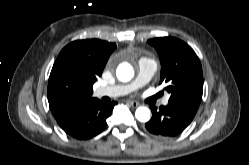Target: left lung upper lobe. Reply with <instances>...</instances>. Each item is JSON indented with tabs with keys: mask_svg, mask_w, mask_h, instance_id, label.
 Segmentation results:
<instances>
[{
	"mask_svg": "<svg viewBox=\"0 0 249 165\" xmlns=\"http://www.w3.org/2000/svg\"><path fill=\"white\" fill-rule=\"evenodd\" d=\"M161 62L160 84L171 94L169 102L197 111L203 94V73L199 58L185 42L174 37L148 40Z\"/></svg>",
	"mask_w": 249,
	"mask_h": 165,
	"instance_id": "left-lung-upper-lobe-1",
	"label": "left lung upper lobe"
}]
</instances>
